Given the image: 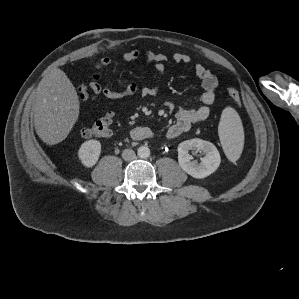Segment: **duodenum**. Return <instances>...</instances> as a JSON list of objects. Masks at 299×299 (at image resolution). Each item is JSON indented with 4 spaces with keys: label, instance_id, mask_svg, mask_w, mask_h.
I'll return each instance as SVG.
<instances>
[{
    "label": "duodenum",
    "instance_id": "duodenum-1",
    "mask_svg": "<svg viewBox=\"0 0 299 299\" xmlns=\"http://www.w3.org/2000/svg\"><path fill=\"white\" fill-rule=\"evenodd\" d=\"M152 135L151 131L147 128H141L137 130V137L139 139H146L149 138Z\"/></svg>",
    "mask_w": 299,
    "mask_h": 299
}]
</instances>
